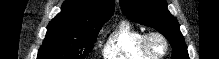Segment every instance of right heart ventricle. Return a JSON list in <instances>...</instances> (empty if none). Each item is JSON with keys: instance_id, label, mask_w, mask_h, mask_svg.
<instances>
[{"instance_id": "obj_1", "label": "right heart ventricle", "mask_w": 219, "mask_h": 59, "mask_svg": "<svg viewBox=\"0 0 219 59\" xmlns=\"http://www.w3.org/2000/svg\"><path fill=\"white\" fill-rule=\"evenodd\" d=\"M144 32L123 20L108 37L103 49L106 59H152L142 48Z\"/></svg>"}]
</instances>
